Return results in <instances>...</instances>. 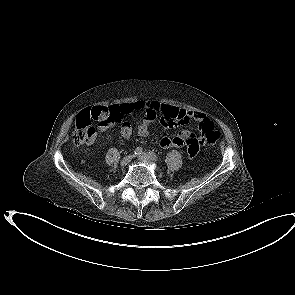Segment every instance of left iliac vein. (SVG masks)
<instances>
[{"label":"left iliac vein","instance_id":"1","mask_svg":"<svg viewBox=\"0 0 295 295\" xmlns=\"http://www.w3.org/2000/svg\"><path fill=\"white\" fill-rule=\"evenodd\" d=\"M138 159L142 162L148 163V164H153V159L146 153H143L138 156Z\"/></svg>","mask_w":295,"mask_h":295}]
</instances>
